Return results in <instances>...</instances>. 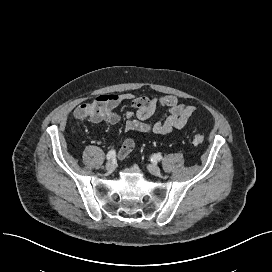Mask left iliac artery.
Listing matches in <instances>:
<instances>
[{
  "label": "left iliac artery",
  "mask_w": 272,
  "mask_h": 272,
  "mask_svg": "<svg viewBox=\"0 0 272 272\" xmlns=\"http://www.w3.org/2000/svg\"><path fill=\"white\" fill-rule=\"evenodd\" d=\"M161 159H162L161 154H155L151 158L152 161H160Z\"/></svg>",
  "instance_id": "1"
}]
</instances>
